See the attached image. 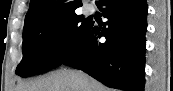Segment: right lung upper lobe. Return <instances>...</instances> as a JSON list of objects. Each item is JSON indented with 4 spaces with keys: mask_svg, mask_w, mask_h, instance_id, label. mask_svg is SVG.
Segmentation results:
<instances>
[{
    "mask_svg": "<svg viewBox=\"0 0 173 91\" xmlns=\"http://www.w3.org/2000/svg\"><path fill=\"white\" fill-rule=\"evenodd\" d=\"M80 0H31L24 28L74 14Z\"/></svg>",
    "mask_w": 173,
    "mask_h": 91,
    "instance_id": "cb5924a9",
    "label": "right lung upper lobe"
}]
</instances>
